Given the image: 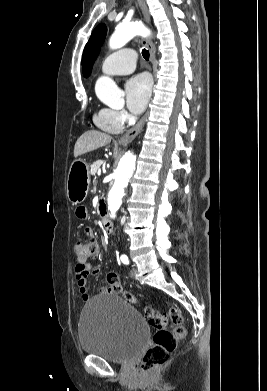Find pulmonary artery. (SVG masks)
Returning a JSON list of instances; mask_svg holds the SVG:
<instances>
[{"mask_svg": "<svg viewBox=\"0 0 267 391\" xmlns=\"http://www.w3.org/2000/svg\"><path fill=\"white\" fill-rule=\"evenodd\" d=\"M136 68V53L130 48L109 54L102 62L101 72L105 75H125Z\"/></svg>", "mask_w": 267, "mask_h": 391, "instance_id": "obj_1", "label": "pulmonary artery"}]
</instances>
